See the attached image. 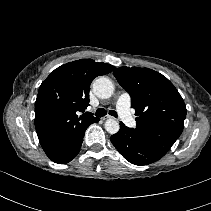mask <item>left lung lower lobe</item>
I'll use <instances>...</instances> for the list:
<instances>
[{
  "mask_svg": "<svg viewBox=\"0 0 211 211\" xmlns=\"http://www.w3.org/2000/svg\"><path fill=\"white\" fill-rule=\"evenodd\" d=\"M110 140L120 154L135 165H148L164 156L153 149L133 128L126 127L122 122L120 130Z\"/></svg>",
  "mask_w": 211,
  "mask_h": 211,
  "instance_id": "obj_1",
  "label": "left lung lower lobe"
}]
</instances>
